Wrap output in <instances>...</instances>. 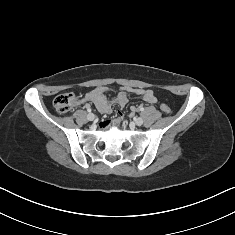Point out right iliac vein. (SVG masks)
Masks as SVG:
<instances>
[{
  "mask_svg": "<svg viewBox=\"0 0 235 235\" xmlns=\"http://www.w3.org/2000/svg\"><path fill=\"white\" fill-rule=\"evenodd\" d=\"M89 121H94L95 120V115L93 113H89L87 116Z\"/></svg>",
  "mask_w": 235,
  "mask_h": 235,
  "instance_id": "obj_1",
  "label": "right iliac vein"
}]
</instances>
